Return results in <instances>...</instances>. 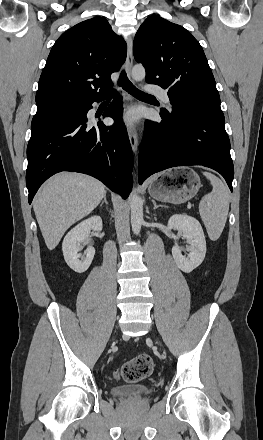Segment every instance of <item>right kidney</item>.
I'll use <instances>...</instances> for the list:
<instances>
[{
  "mask_svg": "<svg viewBox=\"0 0 263 440\" xmlns=\"http://www.w3.org/2000/svg\"><path fill=\"white\" fill-rule=\"evenodd\" d=\"M91 230H102V219L100 216L90 217L76 225L67 233L62 243L65 262L77 273L85 272L91 265L95 255V249L89 246L85 251L86 256L81 261L79 260L80 254L78 252L82 249L81 243L89 237Z\"/></svg>",
  "mask_w": 263,
  "mask_h": 440,
  "instance_id": "1",
  "label": "right kidney"
}]
</instances>
